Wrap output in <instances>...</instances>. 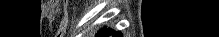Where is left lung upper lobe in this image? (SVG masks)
<instances>
[{
  "instance_id": "1",
  "label": "left lung upper lobe",
  "mask_w": 219,
  "mask_h": 37,
  "mask_svg": "<svg viewBox=\"0 0 219 37\" xmlns=\"http://www.w3.org/2000/svg\"><path fill=\"white\" fill-rule=\"evenodd\" d=\"M110 29H106V28H103L100 32H98L97 36H101L103 35L104 33H107Z\"/></svg>"
}]
</instances>
